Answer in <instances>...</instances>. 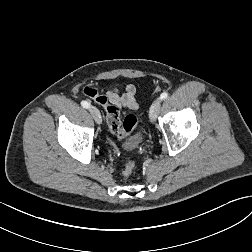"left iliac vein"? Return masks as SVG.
I'll return each mask as SVG.
<instances>
[{
    "label": "left iliac vein",
    "instance_id": "obj_1",
    "mask_svg": "<svg viewBox=\"0 0 252 252\" xmlns=\"http://www.w3.org/2000/svg\"><path fill=\"white\" fill-rule=\"evenodd\" d=\"M160 109H161V101L157 99L153 102L150 108V120L152 122H154L157 119Z\"/></svg>",
    "mask_w": 252,
    "mask_h": 252
}]
</instances>
